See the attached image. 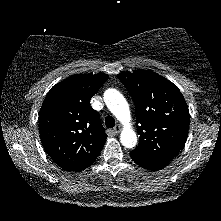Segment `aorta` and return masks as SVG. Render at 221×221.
<instances>
[{"label": "aorta", "mask_w": 221, "mask_h": 221, "mask_svg": "<svg viewBox=\"0 0 221 221\" xmlns=\"http://www.w3.org/2000/svg\"><path fill=\"white\" fill-rule=\"evenodd\" d=\"M104 101L111 113L123 124L120 135L121 143L126 148H133L137 143V136L130 128V109L124 96L116 89H108L104 92Z\"/></svg>", "instance_id": "762f6f07"}]
</instances>
